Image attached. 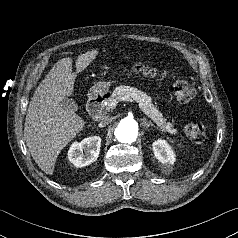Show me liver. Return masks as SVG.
<instances>
[{
  "mask_svg": "<svg viewBox=\"0 0 238 238\" xmlns=\"http://www.w3.org/2000/svg\"><path fill=\"white\" fill-rule=\"evenodd\" d=\"M98 54L91 50L78 56L76 73L72 58H62L46 75L31 98L24 127V138L34 161L52 175L61 150L83 130L84 120L61 104L74 91L77 73L83 71Z\"/></svg>",
  "mask_w": 238,
  "mask_h": 238,
  "instance_id": "liver-1",
  "label": "liver"
}]
</instances>
